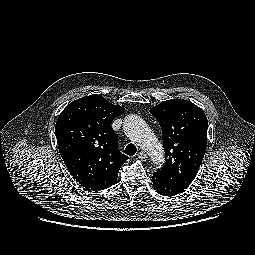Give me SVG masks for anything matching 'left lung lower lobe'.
Instances as JSON below:
<instances>
[{
  "label": "left lung lower lobe",
  "mask_w": 255,
  "mask_h": 255,
  "mask_svg": "<svg viewBox=\"0 0 255 255\" xmlns=\"http://www.w3.org/2000/svg\"><path fill=\"white\" fill-rule=\"evenodd\" d=\"M152 181L155 190L163 196H175L183 191V189L166 182L155 173L153 174Z\"/></svg>",
  "instance_id": "obj_1"
}]
</instances>
